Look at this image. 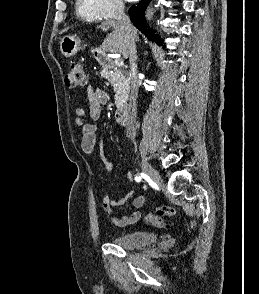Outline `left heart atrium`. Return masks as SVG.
Returning <instances> with one entry per match:
<instances>
[{
  "instance_id": "left-heart-atrium-1",
  "label": "left heart atrium",
  "mask_w": 259,
  "mask_h": 294,
  "mask_svg": "<svg viewBox=\"0 0 259 294\" xmlns=\"http://www.w3.org/2000/svg\"><path fill=\"white\" fill-rule=\"evenodd\" d=\"M128 1H136V0H128Z\"/></svg>"
}]
</instances>
